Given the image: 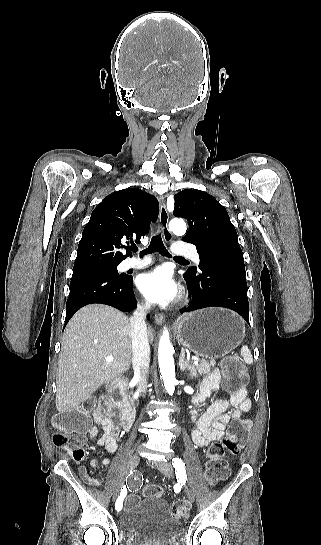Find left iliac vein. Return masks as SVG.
I'll use <instances>...</instances> for the list:
<instances>
[{"instance_id": "1", "label": "left iliac vein", "mask_w": 321, "mask_h": 545, "mask_svg": "<svg viewBox=\"0 0 321 545\" xmlns=\"http://www.w3.org/2000/svg\"><path fill=\"white\" fill-rule=\"evenodd\" d=\"M156 468L161 471L166 477L172 478L174 475V469L171 464L167 462H158L155 464ZM185 493L191 502H194L195 496L193 491L187 486H184Z\"/></svg>"}]
</instances>
